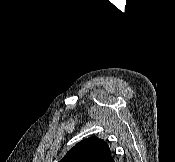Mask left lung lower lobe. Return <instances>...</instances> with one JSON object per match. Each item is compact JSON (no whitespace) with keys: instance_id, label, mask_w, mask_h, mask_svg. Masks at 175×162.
<instances>
[{"instance_id":"1","label":"left lung lower lobe","mask_w":175,"mask_h":162,"mask_svg":"<svg viewBox=\"0 0 175 162\" xmlns=\"http://www.w3.org/2000/svg\"><path fill=\"white\" fill-rule=\"evenodd\" d=\"M106 162H114V160H113L112 157L110 156V157L106 160Z\"/></svg>"}]
</instances>
